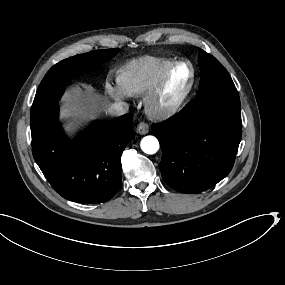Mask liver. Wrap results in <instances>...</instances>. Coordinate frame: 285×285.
<instances>
[{
    "label": "liver",
    "mask_w": 285,
    "mask_h": 285,
    "mask_svg": "<svg viewBox=\"0 0 285 285\" xmlns=\"http://www.w3.org/2000/svg\"><path fill=\"white\" fill-rule=\"evenodd\" d=\"M60 118L68 120L66 130L74 132L83 124L107 112L111 103L98 94L91 84L79 83L68 88L62 97Z\"/></svg>",
    "instance_id": "obj_1"
}]
</instances>
